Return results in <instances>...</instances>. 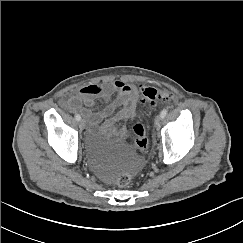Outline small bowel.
Instances as JSON below:
<instances>
[{"label": "small bowel", "instance_id": "small-bowel-1", "mask_svg": "<svg viewBox=\"0 0 243 243\" xmlns=\"http://www.w3.org/2000/svg\"><path fill=\"white\" fill-rule=\"evenodd\" d=\"M98 98L108 102L102 112H91L83 108V106L92 107ZM64 105L73 111H81L93 126L107 118L104 125L117 126L120 135L125 137L127 135L125 123L133 118V110L138 106L137 89L122 80L82 85L64 100ZM118 108L120 110L113 115Z\"/></svg>", "mask_w": 243, "mask_h": 243}]
</instances>
